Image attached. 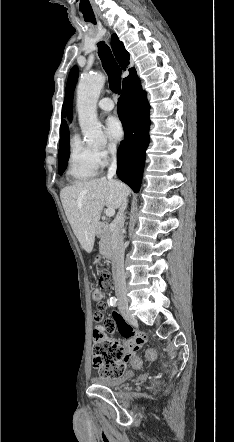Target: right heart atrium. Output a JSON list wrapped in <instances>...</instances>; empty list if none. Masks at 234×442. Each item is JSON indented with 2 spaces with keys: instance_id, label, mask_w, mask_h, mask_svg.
Instances as JSON below:
<instances>
[{
  "instance_id": "d8ad5b80",
  "label": "right heart atrium",
  "mask_w": 234,
  "mask_h": 442,
  "mask_svg": "<svg viewBox=\"0 0 234 442\" xmlns=\"http://www.w3.org/2000/svg\"><path fill=\"white\" fill-rule=\"evenodd\" d=\"M116 153H117V147L113 143L108 144L104 148L96 150V157L100 166H104L109 161H111L116 156Z\"/></svg>"
}]
</instances>
